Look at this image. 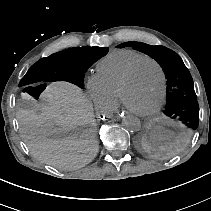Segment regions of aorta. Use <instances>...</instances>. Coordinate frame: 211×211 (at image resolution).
Instances as JSON below:
<instances>
[{"label":"aorta","instance_id":"1","mask_svg":"<svg viewBox=\"0 0 211 211\" xmlns=\"http://www.w3.org/2000/svg\"><path fill=\"white\" fill-rule=\"evenodd\" d=\"M122 125L131 132H137L141 129V121L134 115L125 116L122 120Z\"/></svg>","mask_w":211,"mask_h":211}]
</instances>
